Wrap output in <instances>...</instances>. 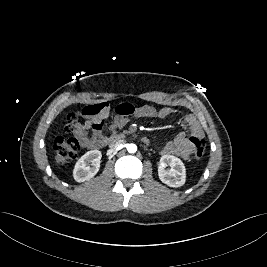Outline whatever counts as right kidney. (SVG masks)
Wrapping results in <instances>:
<instances>
[{"label": "right kidney", "mask_w": 267, "mask_h": 267, "mask_svg": "<svg viewBox=\"0 0 267 267\" xmlns=\"http://www.w3.org/2000/svg\"><path fill=\"white\" fill-rule=\"evenodd\" d=\"M101 151L91 150L86 152L76 162L73 177L77 182H84L93 178L100 167Z\"/></svg>", "instance_id": "obj_1"}]
</instances>
